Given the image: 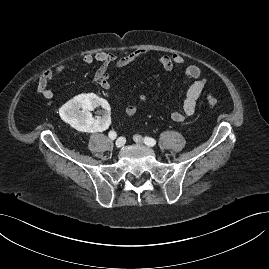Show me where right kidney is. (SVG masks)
<instances>
[{"label":"right kidney","mask_w":269,"mask_h":269,"mask_svg":"<svg viewBox=\"0 0 269 269\" xmlns=\"http://www.w3.org/2000/svg\"><path fill=\"white\" fill-rule=\"evenodd\" d=\"M103 114L109 109V104L94 94L79 95L67 102L61 109L66 123L83 132L102 133L111 125L110 117L94 119L90 111Z\"/></svg>","instance_id":"1"}]
</instances>
